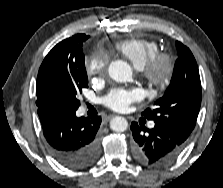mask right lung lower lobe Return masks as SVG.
Segmentation results:
<instances>
[{"instance_id":"1","label":"right lung lower lobe","mask_w":223,"mask_h":188,"mask_svg":"<svg viewBox=\"0 0 223 188\" xmlns=\"http://www.w3.org/2000/svg\"><path fill=\"white\" fill-rule=\"evenodd\" d=\"M76 110L38 109V115L52 156L67 168L83 169L99 156L101 117H77Z\"/></svg>"}]
</instances>
